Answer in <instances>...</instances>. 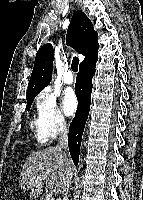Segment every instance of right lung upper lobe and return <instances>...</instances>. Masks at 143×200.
I'll return each instance as SVG.
<instances>
[{"instance_id":"right-lung-upper-lobe-1","label":"right lung upper lobe","mask_w":143,"mask_h":200,"mask_svg":"<svg viewBox=\"0 0 143 200\" xmlns=\"http://www.w3.org/2000/svg\"><path fill=\"white\" fill-rule=\"evenodd\" d=\"M66 44L85 56L82 62L97 54L98 34L85 13L78 11L73 14L66 35ZM53 59L54 51L51 44H45L38 50L28 84L27 100L34 98L50 83Z\"/></svg>"}]
</instances>
